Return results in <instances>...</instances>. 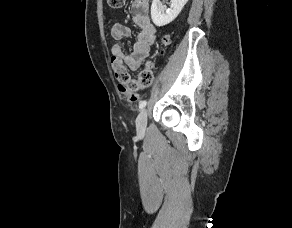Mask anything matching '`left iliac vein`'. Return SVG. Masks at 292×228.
<instances>
[{
	"instance_id": "obj_1",
	"label": "left iliac vein",
	"mask_w": 292,
	"mask_h": 228,
	"mask_svg": "<svg viewBox=\"0 0 292 228\" xmlns=\"http://www.w3.org/2000/svg\"><path fill=\"white\" fill-rule=\"evenodd\" d=\"M147 110L144 108L142 109L137 118H136V128L138 133H144L146 126H147Z\"/></svg>"
}]
</instances>
